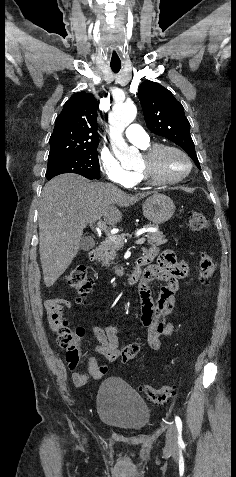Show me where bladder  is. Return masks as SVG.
Segmentation results:
<instances>
[{"instance_id": "1", "label": "bladder", "mask_w": 236, "mask_h": 477, "mask_svg": "<svg viewBox=\"0 0 236 477\" xmlns=\"http://www.w3.org/2000/svg\"><path fill=\"white\" fill-rule=\"evenodd\" d=\"M96 404L100 420L123 431L140 432L151 420L147 404L119 377H109L101 382Z\"/></svg>"}]
</instances>
